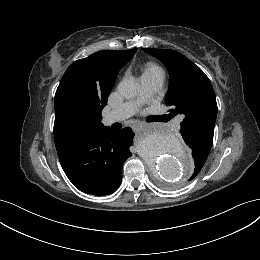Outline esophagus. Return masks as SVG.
Listing matches in <instances>:
<instances>
[{"instance_id": "34e87169", "label": "esophagus", "mask_w": 260, "mask_h": 260, "mask_svg": "<svg viewBox=\"0 0 260 260\" xmlns=\"http://www.w3.org/2000/svg\"><path fill=\"white\" fill-rule=\"evenodd\" d=\"M146 125H147L146 122H144V121H138V122L135 123V128L138 129V128L144 127V126H146Z\"/></svg>"}]
</instances>
